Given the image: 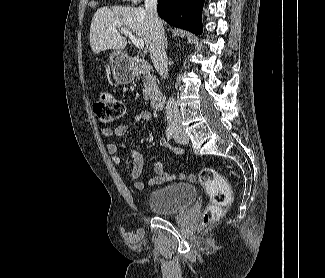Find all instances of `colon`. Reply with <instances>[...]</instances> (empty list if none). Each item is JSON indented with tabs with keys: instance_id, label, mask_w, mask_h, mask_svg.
<instances>
[{
	"instance_id": "5ec220e1",
	"label": "colon",
	"mask_w": 325,
	"mask_h": 278,
	"mask_svg": "<svg viewBox=\"0 0 325 278\" xmlns=\"http://www.w3.org/2000/svg\"><path fill=\"white\" fill-rule=\"evenodd\" d=\"M93 109L99 120L106 124L119 121L125 114L124 104L110 92H101L94 102ZM190 180L194 181L195 177L190 176ZM198 180L211 200L201 220V225L206 226L221 218L224 207L231 200L232 192L228 181L212 168H203Z\"/></svg>"
}]
</instances>
